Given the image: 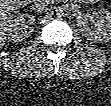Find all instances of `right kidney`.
I'll return each mask as SVG.
<instances>
[{
	"label": "right kidney",
	"mask_w": 111,
	"mask_h": 106,
	"mask_svg": "<svg viewBox=\"0 0 111 106\" xmlns=\"http://www.w3.org/2000/svg\"><path fill=\"white\" fill-rule=\"evenodd\" d=\"M35 18L29 14L17 16L9 24L8 39L14 42L28 38L34 31Z\"/></svg>",
	"instance_id": "1"
}]
</instances>
